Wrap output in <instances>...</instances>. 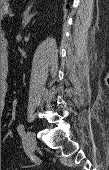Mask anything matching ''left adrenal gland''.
I'll return each instance as SVG.
<instances>
[{"mask_svg": "<svg viewBox=\"0 0 109 170\" xmlns=\"http://www.w3.org/2000/svg\"><path fill=\"white\" fill-rule=\"evenodd\" d=\"M33 3L29 4L24 12L23 15V21H22V27L25 28L26 25L29 23V21L31 20V18L35 15V13L30 14V9L32 7Z\"/></svg>", "mask_w": 109, "mask_h": 170, "instance_id": "a2214340", "label": "left adrenal gland"}]
</instances>
